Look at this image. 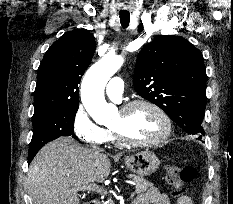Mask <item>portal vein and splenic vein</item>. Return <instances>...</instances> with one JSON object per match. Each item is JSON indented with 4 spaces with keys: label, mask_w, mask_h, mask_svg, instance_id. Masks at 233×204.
Listing matches in <instances>:
<instances>
[{
    "label": "portal vein and splenic vein",
    "mask_w": 233,
    "mask_h": 204,
    "mask_svg": "<svg viewBox=\"0 0 233 204\" xmlns=\"http://www.w3.org/2000/svg\"><path fill=\"white\" fill-rule=\"evenodd\" d=\"M73 190L74 191H78V190L93 191L101 195L106 193V191H104L101 187H99L96 184L81 185V186H78L77 188H74ZM132 195H134V193H132Z\"/></svg>",
    "instance_id": "1"
}]
</instances>
